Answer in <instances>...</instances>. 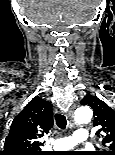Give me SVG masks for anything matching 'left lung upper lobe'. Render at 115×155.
I'll return each instance as SVG.
<instances>
[{
  "mask_svg": "<svg viewBox=\"0 0 115 155\" xmlns=\"http://www.w3.org/2000/svg\"><path fill=\"white\" fill-rule=\"evenodd\" d=\"M80 103L93 109L94 126L99 127L96 134L107 149V151H98L95 155H115V111L104 101L90 94L86 95Z\"/></svg>",
  "mask_w": 115,
  "mask_h": 155,
  "instance_id": "1",
  "label": "left lung upper lobe"
}]
</instances>
